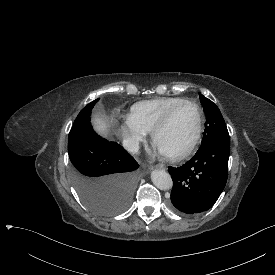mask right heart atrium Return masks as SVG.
<instances>
[{
    "mask_svg": "<svg viewBox=\"0 0 275 275\" xmlns=\"http://www.w3.org/2000/svg\"><path fill=\"white\" fill-rule=\"evenodd\" d=\"M114 130L125 146L132 151L137 150L146 137V133L129 119L116 120Z\"/></svg>",
    "mask_w": 275,
    "mask_h": 275,
    "instance_id": "1",
    "label": "right heart atrium"
}]
</instances>
